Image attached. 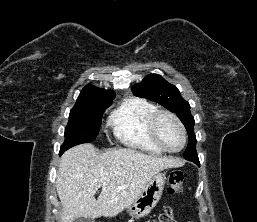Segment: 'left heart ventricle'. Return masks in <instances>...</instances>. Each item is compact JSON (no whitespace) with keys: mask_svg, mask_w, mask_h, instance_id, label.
<instances>
[{"mask_svg":"<svg viewBox=\"0 0 257 222\" xmlns=\"http://www.w3.org/2000/svg\"><path fill=\"white\" fill-rule=\"evenodd\" d=\"M158 135L169 149H178L182 145V133L178 125L170 117L164 116L158 123Z\"/></svg>","mask_w":257,"mask_h":222,"instance_id":"obj_1","label":"left heart ventricle"}]
</instances>
